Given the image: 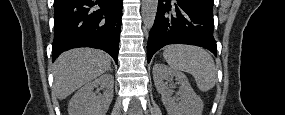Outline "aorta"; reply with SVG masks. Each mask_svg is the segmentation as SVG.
<instances>
[{
	"label": "aorta",
	"instance_id": "aorta-1",
	"mask_svg": "<svg viewBox=\"0 0 285 115\" xmlns=\"http://www.w3.org/2000/svg\"><path fill=\"white\" fill-rule=\"evenodd\" d=\"M157 7L158 0H142L141 14L146 31H149L155 22Z\"/></svg>",
	"mask_w": 285,
	"mask_h": 115
}]
</instances>
